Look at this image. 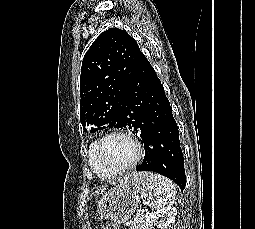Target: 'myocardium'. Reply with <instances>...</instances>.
I'll use <instances>...</instances> for the list:
<instances>
[{
  "mask_svg": "<svg viewBox=\"0 0 255 229\" xmlns=\"http://www.w3.org/2000/svg\"><path fill=\"white\" fill-rule=\"evenodd\" d=\"M111 136H121L126 138L134 147L135 149V156L133 158V160L125 166L119 167V168H111L108 167L107 165H105L101 159L98 156V148L100 146V144L108 137ZM91 153L93 158L96 160V162L100 165V167L109 175H115V177L119 174L125 173L131 169H133L137 163L139 162L141 155H142V148H141V144L138 141V139H136L133 135H131L130 133L123 131V130H110L107 131L105 133H103L102 135H100L97 139H95L93 141V143L91 144Z\"/></svg>",
  "mask_w": 255,
  "mask_h": 229,
  "instance_id": "obj_1",
  "label": "myocardium"
}]
</instances>
